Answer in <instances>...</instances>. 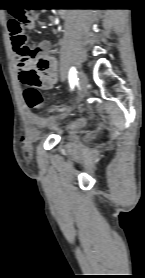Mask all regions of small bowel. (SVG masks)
I'll list each match as a JSON object with an SVG mask.
<instances>
[{"instance_id": "1", "label": "small bowel", "mask_w": 145, "mask_h": 278, "mask_svg": "<svg viewBox=\"0 0 145 278\" xmlns=\"http://www.w3.org/2000/svg\"><path fill=\"white\" fill-rule=\"evenodd\" d=\"M34 27V19H31V23L29 28L32 29ZM12 49L14 53V59L16 63V68L19 72L20 78L22 80L23 74L29 69L33 68L35 64L38 65L39 70L42 72V84L41 87L44 90L52 89L58 81V64L57 60L54 57H47L43 59V57L51 50V43L49 41H44L34 48H29L36 55L38 60H35L32 55H27L26 49L23 47H17L12 38ZM28 118L30 123L36 124L38 122V118L32 114H28Z\"/></svg>"}]
</instances>
